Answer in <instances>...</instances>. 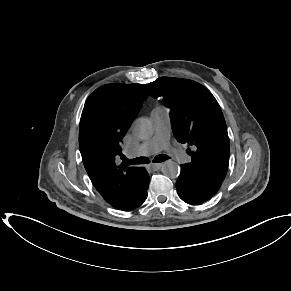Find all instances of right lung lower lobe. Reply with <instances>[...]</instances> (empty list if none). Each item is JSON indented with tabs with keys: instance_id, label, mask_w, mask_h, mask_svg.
Listing matches in <instances>:
<instances>
[{
	"instance_id": "obj_1",
	"label": "right lung lower lobe",
	"mask_w": 291,
	"mask_h": 291,
	"mask_svg": "<svg viewBox=\"0 0 291 291\" xmlns=\"http://www.w3.org/2000/svg\"><path fill=\"white\" fill-rule=\"evenodd\" d=\"M134 189L128 200L114 207L122 211H131L139 207L147 198V189L149 186V175L143 167H139L134 175Z\"/></svg>"
}]
</instances>
